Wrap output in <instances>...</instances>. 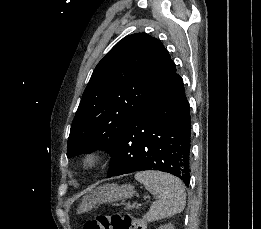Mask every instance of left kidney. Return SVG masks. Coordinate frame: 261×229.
Instances as JSON below:
<instances>
[{
	"label": "left kidney",
	"mask_w": 261,
	"mask_h": 229,
	"mask_svg": "<svg viewBox=\"0 0 261 229\" xmlns=\"http://www.w3.org/2000/svg\"><path fill=\"white\" fill-rule=\"evenodd\" d=\"M159 229H174L173 225H164V227H159Z\"/></svg>",
	"instance_id": "left-kidney-1"
}]
</instances>
